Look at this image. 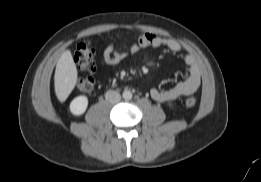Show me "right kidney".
<instances>
[{
	"mask_svg": "<svg viewBox=\"0 0 261 182\" xmlns=\"http://www.w3.org/2000/svg\"><path fill=\"white\" fill-rule=\"evenodd\" d=\"M88 106V98L86 96H78L74 98L70 103V112L73 115H82Z\"/></svg>",
	"mask_w": 261,
	"mask_h": 182,
	"instance_id": "ca27d5eb",
	"label": "right kidney"
}]
</instances>
